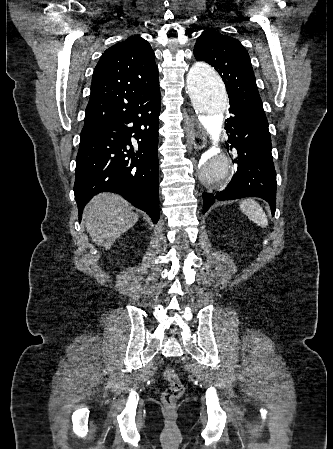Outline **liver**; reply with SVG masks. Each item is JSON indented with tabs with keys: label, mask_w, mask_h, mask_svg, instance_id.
Returning <instances> with one entry per match:
<instances>
[{
	"label": "liver",
	"mask_w": 333,
	"mask_h": 449,
	"mask_svg": "<svg viewBox=\"0 0 333 449\" xmlns=\"http://www.w3.org/2000/svg\"><path fill=\"white\" fill-rule=\"evenodd\" d=\"M84 218L92 241L108 250L116 239L134 226L138 214L119 195L101 193L87 204Z\"/></svg>",
	"instance_id": "obj_1"
}]
</instances>
